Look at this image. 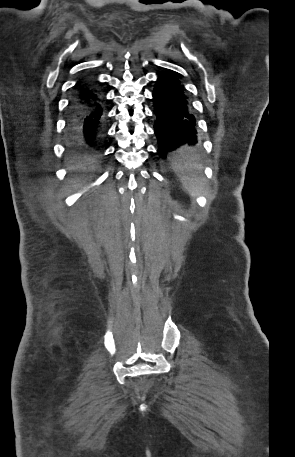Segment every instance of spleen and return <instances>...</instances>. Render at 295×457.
<instances>
[{"label": "spleen", "mask_w": 295, "mask_h": 457, "mask_svg": "<svg viewBox=\"0 0 295 457\" xmlns=\"http://www.w3.org/2000/svg\"><path fill=\"white\" fill-rule=\"evenodd\" d=\"M181 157L174 164V169L180 174L181 181L188 192L196 197L201 194L204 182L201 178L193 174L198 168L197 155L187 153L185 150L180 151Z\"/></svg>", "instance_id": "obj_1"}]
</instances>
